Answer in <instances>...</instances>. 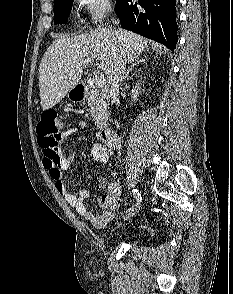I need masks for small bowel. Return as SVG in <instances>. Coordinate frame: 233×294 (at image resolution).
Returning a JSON list of instances; mask_svg holds the SVG:
<instances>
[{"instance_id": "obj_1", "label": "small bowel", "mask_w": 233, "mask_h": 294, "mask_svg": "<svg viewBox=\"0 0 233 294\" xmlns=\"http://www.w3.org/2000/svg\"><path fill=\"white\" fill-rule=\"evenodd\" d=\"M85 129V123L80 121L75 127L64 131L63 137L68 138ZM112 148L100 141L91 150V157L100 163H106L112 153ZM76 160V149H59V156H45L43 166L47 170L50 178L54 181L57 191L64 197L66 202L81 216L88 220L97 228L106 226L113 217L112 209L107 205L109 201L119 203L120 185L116 182L108 183L104 177L98 179V186L101 189H107V193L99 198V204L106 208L100 214H93L88 211L85 201L89 197V192L85 189H79L76 192L67 190L63 180L62 172L67 170Z\"/></svg>"}]
</instances>
